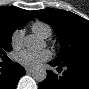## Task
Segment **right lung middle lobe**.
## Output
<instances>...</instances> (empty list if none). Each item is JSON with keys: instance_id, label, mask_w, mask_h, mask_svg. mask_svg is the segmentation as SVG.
Segmentation results:
<instances>
[{"instance_id": "obj_1", "label": "right lung middle lobe", "mask_w": 89, "mask_h": 89, "mask_svg": "<svg viewBox=\"0 0 89 89\" xmlns=\"http://www.w3.org/2000/svg\"><path fill=\"white\" fill-rule=\"evenodd\" d=\"M15 30L0 24V55H6V52L12 50L11 37Z\"/></svg>"}]
</instances>
